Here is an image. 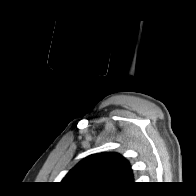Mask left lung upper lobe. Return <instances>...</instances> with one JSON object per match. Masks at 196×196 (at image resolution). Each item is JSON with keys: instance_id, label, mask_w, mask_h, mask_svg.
<instances>
[{"instance_id": "5c2ea615", "label": "left lung upper lobe", "mask_w": 196, "mask_h": 196, "mask_svg": "<svg viewBox=\"0 0 196 196\" xmlns=\"http://www.w3.org/2000/svg\"><path fill=\"white\" fill-rule=\"evenodd\" d=\"M131 183V167L128 161L117 153L90 155L62 180L64 185L88 192L115 190Z\"/></svg>"}]
</instances>
